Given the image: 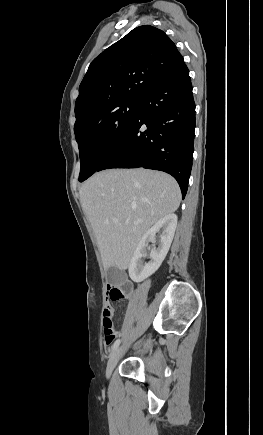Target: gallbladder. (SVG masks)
I'll return each mask as SVG.
<instances>
[{
	"label": "gallbladder",
	"mask_w": 263,
	"mask_h": 435,
	"mask_svg": "<svg viewBox=\"0 0 263 435\" xmlns=\"http://www.w3.org/2000/svg\"><path fill=\"white\" fill-rule=\"evenodd\" d=\"M106 278L111 285L118 286L125 282L126 275L124 271L116 267H110L106 272Z\"/></svg>",
	"instance_id": "bac80fb5"
}]
</instances>
